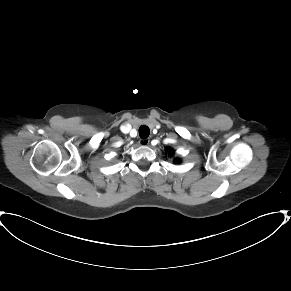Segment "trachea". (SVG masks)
<instances>
[{
    "instance_id": "obj_1",
    "label": "trachea",
    "mask_w": 291,
    "mask_h": 291,
    "mask_svg": "<svg viewBox=\"0 0 291 291\" xmlns=\"http://www.w3.org/2000/svg\"><path fill=\"white\" fill-rule=\"evenodd\" d=\"M150 134V130L147 126H141L139 128V135L142 139H146Z\"/></svg>"
}]
</instances>
